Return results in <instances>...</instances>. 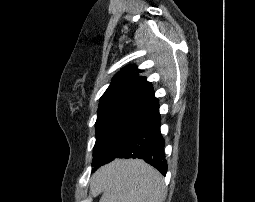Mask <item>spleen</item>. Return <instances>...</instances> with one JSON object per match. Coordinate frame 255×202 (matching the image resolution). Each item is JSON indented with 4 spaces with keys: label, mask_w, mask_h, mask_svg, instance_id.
Returning <instances> with one entry per match:
<instances>
[{
    "label": "spleen",
    "mask_w": 255,
    "mask_h": 202,
    "mask_svg": "<svg viewBox=\"0 0 255 202\" xmlns=\"http://www.w3.org/2000/svg\"><path fill=\"white\" fill-rule=\"evenodd\" d=\"M95 186L102 191L99 202H161V174L141 160H117L97 173Z\"/></svg>",
    "instance_id": "spleen-1"
}]
</instances>
